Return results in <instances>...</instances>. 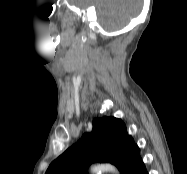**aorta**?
<instances>
[{
  "mask_svg": "<svg viewBox=\"0 0 187 174\" xmlns=\"http://www.w3.org/2000/svg\"><path fill=\"white\" fill-rule=\"evenodd\" d=\"M103 172H109L112 174H119L117 168L111 164H99L91 168L92 174H102Z\"/></svg>",
  "mask_w": 187,
  "mask_h": 174,
  "instance_id": "762f6f07",
  "label": "aorta"
}]
</instances>
